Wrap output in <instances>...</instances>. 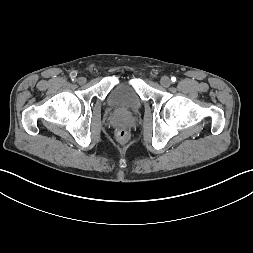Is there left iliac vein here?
<instances>
[{
	"instance_id": "1",
	"label": "left iliac vein",
	"mask_w": 253,
	"mask_h": 253,
	"mask_svg": "<svg viewBox=\"0 0 253 253\" xmlns=\"http://www.w3.org/2000/svg\"><path fill=\"white\" fill-rule=\"evenodd\" d=\"M160 83H161V85H162L163 87L167 88V87L170 86L171 80H170L169 77L163 76V77L161 78V80H160Z\"/></svg>"
}]
</instances>
